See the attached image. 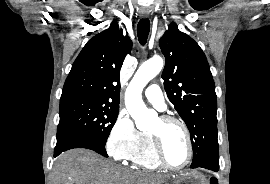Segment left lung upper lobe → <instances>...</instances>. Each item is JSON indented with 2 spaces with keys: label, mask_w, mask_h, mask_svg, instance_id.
Wrapping results in <instances>:
<instances>
[{
  "label": "left lung upper lobe",
  "mask_w": 270,
  "mask_h": 184,
  "mask_svg": "<svg viewBox=\"0 0 270 184\" xmlns=\"http://www.w3.org/2000/svg\"><path fill=\"white\" fill-rule=\"evenodd\" d=\"M165 56L164 88L186 123L196 167L206 158H218L217 97L206 56L199 45L172 22L159 41Z\"/></svg>",
  "instance_id": "left-lung-upper-lobe-1"
}]
</instances>
